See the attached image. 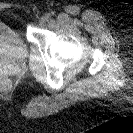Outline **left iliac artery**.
I'll return each instance as SVG.
<instances>
[{"mask_svg":"<svg viewBox=\"0 0 133 133\" xmlns=\"http://www.w3.org/2000/svg\"><path fill=\"white\" fill-rule=\"evenodd\" d=\"M49 15H50V16H51V15H54V12H51V14H49Z\"/></svg>","mask_w":133,"mask_h":133,"instance_id":"44dca946","label":"left iliac artery"}]
</instances>
